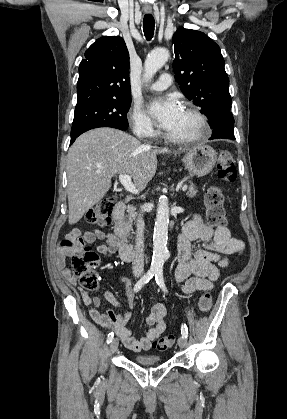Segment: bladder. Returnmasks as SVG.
<instances>
[{
	"label": "bladder",
	"instance_id": "bladder-1",
	"mask_svg": "<svg viewBox=\"0 0 287 419\" xmlns=\"http://www.w3.org/2000/svg\"><path fill=\"white\" fill-rule=\"evenodd\" d=\"M134 360L139 364L151 366L158 364L161 359L151 355H137L134 357Z\"/></svg>",
	"mask_w": 287,
	"mask_h": 419
}]
</instances>
